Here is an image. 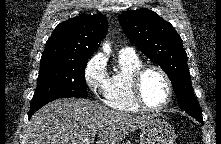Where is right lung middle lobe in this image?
Returning <instances> with one entry per match:
<instances>
[{
    "label": "right lung middle lobe",
    "mask_w": 221,
    "mask_h": 144,
    "mask_svg": "<svg viewBox=\"0 0 221 144\" xmlns=\"http://www.w3.org/2000/svg\"><path fill=\"white\" fill-rule=\"evenodd\" d=\"M86 60L42 59L30 111L63 97L88 96Z\"/></svg>",
    "instance_id": "dd1d6c3e"
}]
</instances>
